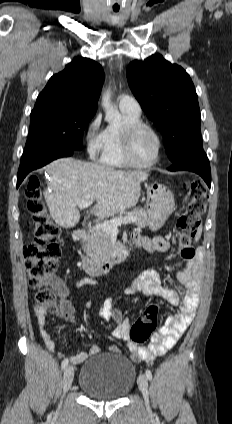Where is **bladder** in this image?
<instances>
[{
  "instance_id": "bladder-1",
  "label": "bladder",
  "mask_w": 232,
  "mask_h": 424,
  "mask_svg": "<svg viewBox=\"0 0 232 424\" xmlns=\"http://www.w3.org/2000/svg\"><path fill=\"white\" fill-rule=\"evenodd\" d=\"M136 381L135 366L121 354H97L81 367L78 386L89 397L121 399Z\"/></svg>"
}]
</instances>
